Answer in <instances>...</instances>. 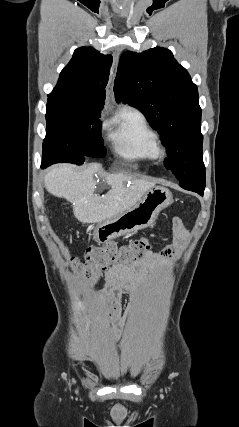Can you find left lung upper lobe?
Listing matches in <instances>:
<instances>
[{"label": "left lung upper lobe", "instance_id": "5c2ea615", "mask_svg": "<svg viewBox=\"0 0 239 427\" xmlns=\"http://www.w3.org/2000/svg\"><path fill=\"white\" fill-rule=\"evenodd\" d=\"M114 92L117 102L137 107L158 131L167 150L166 167L179 183L205 170L197 86L170 50L156 47L142 53L124 52Z\"/></svg>", "mask_w": 239, "mask_h": 427}]
</instances>
